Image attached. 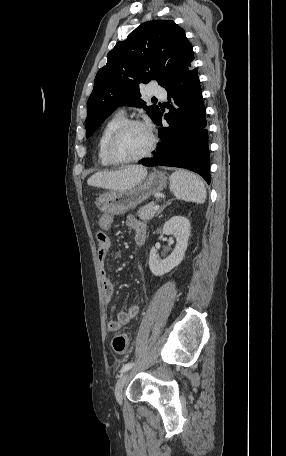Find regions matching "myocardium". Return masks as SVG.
I'll return each mask as SVG.
<instances>
[{
  "label": "myocardium",
  "instance_id": "myocardium-1",
  "mask_svg": "<svg viewBox=\"0 0 286 456\" xmlns=\"http://www.w3.org/2000/svg\"><path fill=\"white\" fill-rule=\"evenodd\" d=\"M130 126H141L144 127L149 135V146L147 150L140 156L131 158V159H124L119 157L116 152H115V144L116 141L118 140L119 136ZM156 136L154 134V131L152 127L145 121L139 120V119H125L122 121L116 129L112 132L110 135L107 146H106V151L109 159L114 162L115 164H130V163H135L144 160L145 158L149 157L152 152L155 149L156 146Z\"/></svg>",
  "mask_w": 286,
  "mask_h": 456
}]
</instances>
